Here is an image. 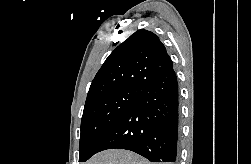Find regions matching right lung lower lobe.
Returning a JSON list of instances; mask_svg holds the SVG:
<instances>
[{"label":"right lung lower lobe","instance_id":"98d812e1","mask_svg":"<svg viewBox=\"0 0 251 164\" xmlns=\"http://www.w3.org/2000/svg\"><path fill=\"white\" fill-rule=\"evenodd\" d=\"M179 134L178 82L172 67L139 88L136 101L101 137L90 157L118 148L136 152L151 162H175Z\"/></svg>","mask_w":251,"mask_h":164}]
</instances>
